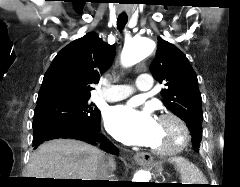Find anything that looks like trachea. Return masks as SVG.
Segmentation results:
<instances>
[{"instance_id": "1", "label": "trachea", "mask_w": 240, "mask_h": 187, "mask_svg": "<svg viewBox=\"0 0 240 187\" xmlns=\"http://www.w3.org/2000/svg\"><path fill=\"white\" fill-rule=\"evenodd\" d=\"M127 22H128V18L127 17H118V19H117V27H118V29L120 31H122Z\"/></svg>"}]
</instances>
